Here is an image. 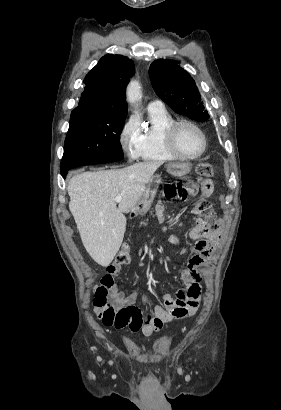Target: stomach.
Listing matches in <instances>:
<instances>
[{
  "label": "stomach",
  "instance_id": "0dacf381",
  "mask_svg": "<svg viewBox=\"0 0 281 410\" xmlns=\"http://www.w3.org/2000/svg\"><path fill=\"white\" fill-rule=\"evenodd\" d=\"M167 172L173 176L180 177L190 172L191 167L186 163H169L167 164ZM161 182L159 175H154L150 179L146 190L143 192L137 204L132 209L135 215H144L148 212L157 192L159 183Z\"/></svg>",
  "mask_w": 281,
  "mask_h": 410
}]
</instances>
